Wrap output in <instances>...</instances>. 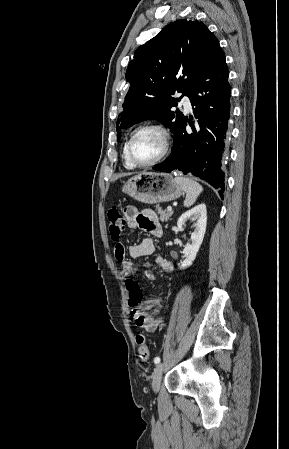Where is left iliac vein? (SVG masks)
<instances>
[{"label": "left iliac vein", "instance_id": "obj_1", "mask_svg": "<svg viewBox=\"0 0 289 449\" xmlns=\"http://www.w3.org/2000/svg\"><path fill=\"white\" fill-rule=\"evenodd\" d=\"M164 370V364L160 363L156 366L154 369L153 375H152V388L154 392H158L160 388V383L162 379V374Z\"/></svg>", "mask_w": 289, "mask_h": 449}]
</instances>
